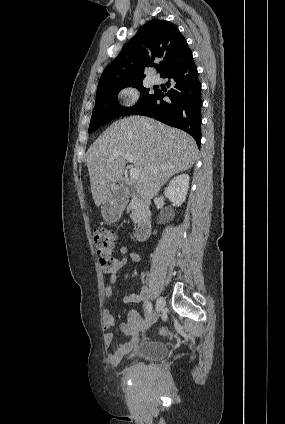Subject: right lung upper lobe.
I'll use <instances>...</instances> for the list:
<instances>
[{
  "label": "right lung upper lobe",
  "mask_w": 285,
  "mask_h": 424,
  "mask_svg": "<svg viewBox=\"0 0 285 424\" xmlns=\"http://www.w3.org/2000/svg\"><path fill=\"white\" fill-rule=\"evenodd\" d=\"M192 58V52L176 25L153 19L142 26L121 53L106 67L98 89L110 85L142 81L143 67L161 60L158 72L163 77Z\"/></svg>",
  "instance_id": "cb5924a9"
}]
</instances>
